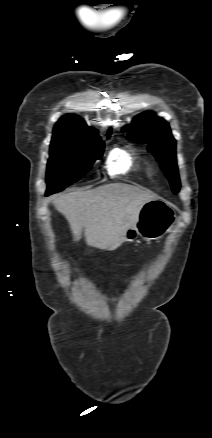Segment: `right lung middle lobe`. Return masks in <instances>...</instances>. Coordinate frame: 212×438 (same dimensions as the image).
<instances>
[{"label": "right lung middle lobe", "instance_id": "obj_1", "mask_svg": "<svg viewBox=\"0 0 212 438\" xmlns=\"http://www.w3.org/2000/svg\"><path fill=\"white\" fill-rule=\"evenodd\" d=\"M109 137V136H108ZM104 142L100 137L72 139L53 137L47 164L46 183L51 193L77 182L97 159H101Z\"/></svg>", "mask_w": 212, "mask_h": 438}]
</instances>
